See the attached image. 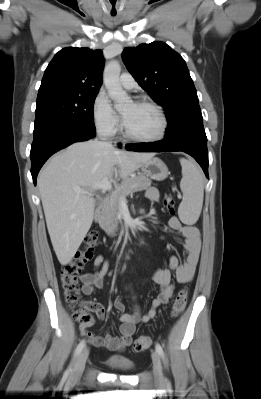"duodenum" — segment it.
Returning a JSON list of instances; mask_svg holds the SVG:
<instances>
[{"instance_id": "1", "label": "duodenum", "mask_w": 261, "mask_h": 399, "mask_svg": "<svg viewBox=\"0 0 261 399\" xmlns=\"http://www.w3.org/2000/svg\"><path fill=\"white\" fill-rule=\"evenodd\" d=\"M107 202H108L107 198L103 199L101 205L97 208V210H96V217H97L98 219L101 218L102 213H103L104 206L107 204Z\"/></svg>"}]
</instances>
